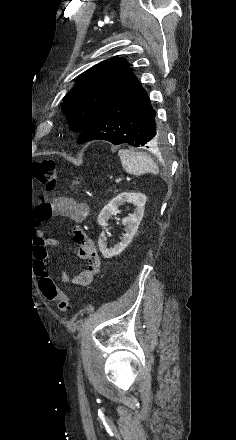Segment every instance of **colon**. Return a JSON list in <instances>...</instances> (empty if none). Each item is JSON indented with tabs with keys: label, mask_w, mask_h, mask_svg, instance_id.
Instances as JSON below:
<instances>
[{
	"label": "colon",
	"mask_w": 236,
	"mask_h": 440,
	"mask_svg": "<svg viewBox=\"0 0 236 440\" xmlns=\"http://www.w3.org/2000/svg\"><path fill=\"white\" fill-rule=\"evenodd\" d=\"M56 163L52 159L41 160L36 169V178L47 190H53L56 185ZM81 183L80 179H74L70 183L71 189H76ZM40 291L49 300L54 302L58 309L66 312L70 309V299L63 293L53 281L46 275L39 284Z\"/></svg>",
	"instance_id": "obj_1"
}]
</instances>
